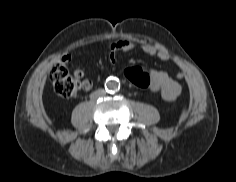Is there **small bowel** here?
Instances as JSON below:
<instances>
[{
    "mask_svg": "<svg viewBox=\"0 0 236 182\" xmlns=\"http://www.w3.org/2000/svg\"><path fill=\"white\" fill-rule=\"evenodd\" d=\"M135 48V45L132 41L128 39H119L111 43L110 51H109V59L114 62L116 60V55L119 52H130ZM141 49L143 52L149 55H153L158 57L162 61H166L169 59V54L167 50L157 47L154 44L144 42L141 45ZM64 61H69L71 56L66 54L62 58ZM151 74V85L150 89L153 92L160 93L161 97L165 101H173L178 96H180L182 92V85L168 73L160 70L150 69L148 70ZM177 79L183 78V73L179 72L176 74ZM93 86L92 81L85 79L82 81V88L84 90H90Z\"/></svg>",
    "mask_w": 236,
    "mask_h": 182,
    "instance_id": "obj_1",
    "label": "small bowel"
}]
</instances>
